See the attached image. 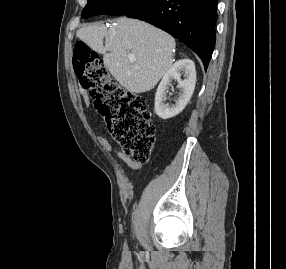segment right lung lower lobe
I'll return each instance as SVG.
<instances>
[{
    "label": "right lung lower lobe",
    "instance_id": "98d812e1",
    "mask_svg": "<svg viewBox=\"0 0 286 269\" xmlns=\"http://www.w3.org/2000/svg\"><path fill=\"white\" fill-rule=\"evenodd\" d=\"M173 35L208 67L216 41L217 0H151L126 15Z\"/></svg>",
    "mask_w": 286,
    "mask_h": 269
}]
</instances>
